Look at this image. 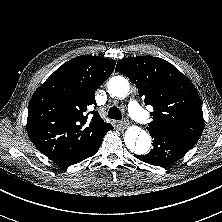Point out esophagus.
Instances as JSON below:
<instances>
[{"mask_svg":"<svg viewBox=\"0 0 222 222\" xmlns=\"http://www.w3.org/2000/svg\"><path fill=\"white\" fill-rule=\"evenodd\" d=\"M127 125H128V123L126 120L120 121L118 123L119 128H122V129H124Z\"/></svg>","mask_w":222,"mask_h":222,"instance_id":"obj_1","label":"esophagus"}]
</instances>
